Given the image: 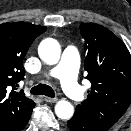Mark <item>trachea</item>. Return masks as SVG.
<instances>
[{"label":"trachea","mask_w":131,"mask_h":131,"mask_svg":"<svg viewBox=\"0 0 131 131\" xmlns=\"http://www.w3.org/2000/svg\"><path fill=\"white\" fill-rule=\"evenodd\" d=\"M30 93L33 95H45V96L51 97V98L55 97L54 90L46 84H39L37 86H34L30 90Z\"/></svg>","instance_id":"3493384b"}]
</instances>
